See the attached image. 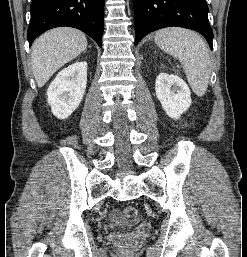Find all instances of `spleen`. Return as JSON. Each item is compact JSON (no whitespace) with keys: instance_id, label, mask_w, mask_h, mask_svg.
<instances>
[{"instance_id":"1","label":"spleen","mask_w":247,"mask_h":257,"mask_svg":"<svg viewBox=\"0 0 247 257\" xmlns=\"http://www.w3.org/2000/svg\"><path fill=\"white\" fill-rule=\"evenodd\" d=\"M154 39L163 51L182 63L192 90L203 96L208 87L211 63L203 39L193 31L178 27L161 29Z\"/></svg>"}]
</instances>
